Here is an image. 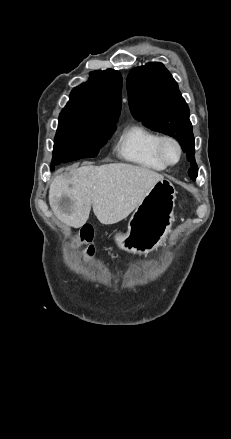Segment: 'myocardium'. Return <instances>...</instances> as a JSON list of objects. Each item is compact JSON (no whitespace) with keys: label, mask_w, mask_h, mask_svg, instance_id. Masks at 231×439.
Instances as JSON below:
<instances>
[{"label":"myocardium","mask_w":231,"mask_h":439,"mask_svg":"<svg viewBox=\"0 0 231 439\" xmlns=\"http://www.w3.org/2000/svg\"><path fill=\"white\" fill-rule=\"evenodd\" d=\"M167 143H171L173 144L177 151H178V157L176 159V161L172 162L170 161L165 153V145ZM156 152L158 157L160 158V160L166 165V166H175L177 165L183 156V148L181 143L173 136L171 135H162L159 137L157 144H156Z\"/></svg>","instance_id":"1"}]
</instances>
